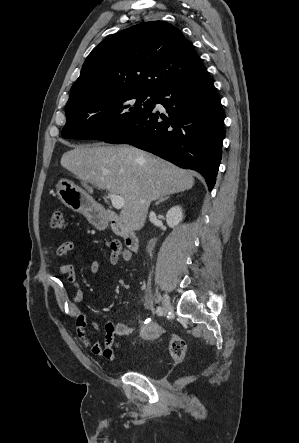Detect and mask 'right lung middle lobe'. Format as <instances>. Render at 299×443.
Here are the masks:
<instances>
[{"label":"right lung middle lobe","instance_id":"dd1d6c3e","mask_svg":"<svg viewBox=\"0 0 299 443\" xmlns=\"http://www.w3.org/2000/svg\"><path fill=\"white\" fill-rule=\"evenodd\" d=\"M155 93L123 91L107 93L67 104L62 137L106 140L131 120L150 111Z\"/></svg>","mask_w":299,"mask_h":443}]
</instances>
